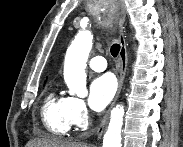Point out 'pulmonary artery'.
Wrapping results in <instances>:
<instances>
[{"instance_id":"1","label":"pulmonary artery","mask_w":183,"mask_h":147,"mask_svg":"<svg viewBox=\"0 0 183 147\" xmlns=\"http://www.w3.org/2000/svg\"><path fill=\"white\" fill-rule=\"evenodd\" d=\"M88 65L92 70L96 72H101L107 67L106 60L102 56H96L91 58L88 62Z\"/></svg>"}]
</instances>
